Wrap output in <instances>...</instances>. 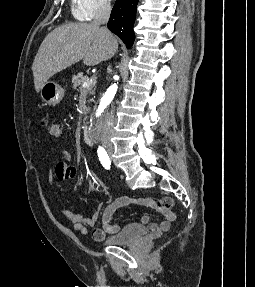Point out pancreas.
Returning <instances> with one entry per match:
<instances>
[{"instance_id":"1","label":"pancreas","mask_w":255,"mask_h":287,"mask_svg":"<svg viewBox=\"0 0 255 287\" xmlns=\"http://www.w3.org/2000/svg\"><path fill=\"white\" fill-rule=\"evenodd\" d=\"M89 80L90 78H88V76H83V72H78L77 76H73L72 78V84H73L74 90H78V92H87V94H95L94 84H91L89 88H83L84 82H89ZM88 112H89V108H88ZM84 120H86V118H84Z\"/></svg>"}]
</instances>
